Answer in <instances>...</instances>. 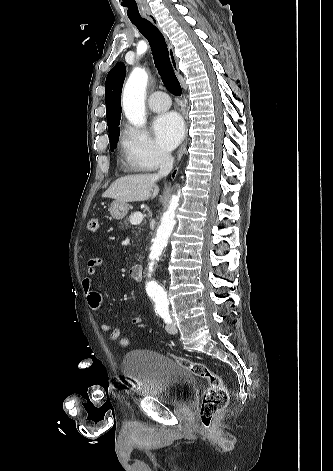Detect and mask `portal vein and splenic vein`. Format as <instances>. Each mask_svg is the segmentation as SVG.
<instances>
[{"label": "portal vein and splenic vein", "instance_id": "18ae733b", "mask_svg": "<svg viewBox=\"0 0 333 471\" xmlns=\"http://www.w3.org/2000/svg\"><path fill=\"white\" fill-rule=\"evenodd\" d=\"M143 220V214L141 212H136L131 216L130 223L133 225L140 224Z\"/></svg>", "mask_w": 333, "mask_h": 471}]
</instances>
